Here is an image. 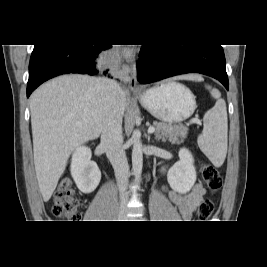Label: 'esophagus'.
Returning <instances> with one entry per match:
<instances>
[{
  "instance_id": "34e87169",
  "label": "esophagus",
  "mask_w": 267,
  "mask_h": 267,
  "mask_svg": "<svg viewBox=\"0 0 267 267\" xmlns=\"http://www.w3.org/2000/svg\"><path fill=\"white\" fill-rule=\"evenodd\" d=\"M122 53H123V56L127 62L132 63L134 61V54H133L132 49L124 48ZM119 78H120V80L127 82L128 87L132 91H140L141 90L137 84V79H136L135 73L132 72L129 68H123L119 72Z\"/></svg>"
}]
</instances>
